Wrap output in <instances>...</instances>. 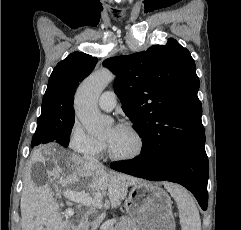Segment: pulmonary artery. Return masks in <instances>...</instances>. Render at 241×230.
Listing matches in <instances>:
<instances>
[{
	"label": "pulmonary artery",
	"mask_w": 241,
	"mask_h": 230,
	"mask_svg": "<svg viewBox=\"0 0 241 230\" xmlns=\"http://www.w3.org/2000/svg\"><path fill=\"white\" fill-rule=\"evenodd\" d=\"M117 99L113 91L108 90L103 92L98 100L99 107L104 111H111L116 106Z\"/></svg>",
	"instance_id": "1"
}]
</instances>
